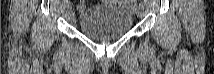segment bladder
Listing matches in <instances>:
<instances>
[{"label":"bladder","instance_id":"bladder-1","mask_svg":"<svg viewBox=\"0 0 214 74\" xmlns=\"http://www.w3.org/2000/svg\"><path fill=\"white\" fill-rule=\"evenodd\" d=\"M103 2H108V5H101V2L80 19V32L95 40H113L124 36L132 27V12L118 4L121 1Z\"/></svg>","mask_w":214,"mask_h":74}]
</instances>
